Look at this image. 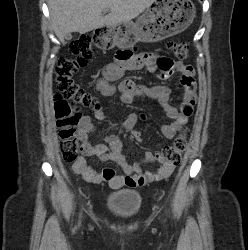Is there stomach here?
Segmentation results:
<instances>
[{
	"instance_id": "obj_1",
	"label": "stomach",
	"mask_w": 248,
	"mask_h": 250,
	"mask_svg": "<svg viewBox=\"0 0 248 250\" xmlns=\"http://www.w3.org/2000/svg\"><path fill=\"white\" fill-rule=\"evenodd\" d=\"M191 0H156L135 22L107 26L103 36L104 48L133 47L138 42H158L184 31L195 17Z\"/></svg>"
}]
</instances>
